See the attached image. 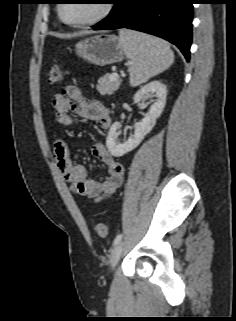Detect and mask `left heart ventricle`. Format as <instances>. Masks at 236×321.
Returning a JSON list of instances; mask_svg holds the SVG:
<instances>
[{
	"label": "left heart ventricle",
	"mask_w": 236,
	"mask_h": 321,
	"mask_svg": "<svg viewBox=\"0 0 236 321\" xmlns=\"http://www.w3.org/2000/svg\"><path fill=\"white\" fill-rule=\"evenodd\" d=\"M101 0H73L65 3L62 8L64 18L70 22L92 19L102 10Z\"/></svg>",
	"instance_id": "b2bd125f"
}]
</instances>
